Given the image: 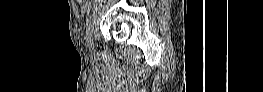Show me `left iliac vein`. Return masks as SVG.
<instances>
[{
	"instance_id": "4c4485c4",
	"label": "left iliac vein",
	"mask_w": 263,
	"mask_h": 92,
	"mask_svg": "<svg viewBox=\"0 0 263 92\" xmlns=\"http://www.w3.org/2000/svg\"><path fill=\"white\" fill-rule=\"evenodd\" d=\"M89 49L92 51V50H94V43H91L90 45H89Z\"/></svg>"
}]
</instances>
